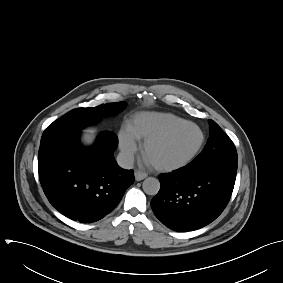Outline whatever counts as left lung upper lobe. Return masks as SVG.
Segmentation results:
<instances>
[{
    "instance_id": "left-lung-upper-lobe-1",
    "label": "left lung upper lobe",
    "mask_w": 283,
    "mask_h": 283,
    "mask_svg": "<svg viewBox=\"0 0 283 283\" xmlns=\"http://www.w3.org/2000/svg\"><path fill=\"white\" fill-rule=\"evenodd\" d=\"M210 137L190 166H220L237 170L238 156L231 139L217 123L209 120Z\"/></svg>"
}]
</instances>
